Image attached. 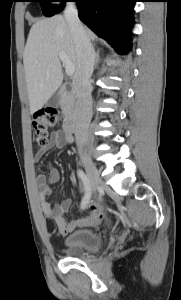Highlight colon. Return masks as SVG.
<instances>
[{
  "instance_id": "1",
  "label": "colon",
  "mask_w": 181,
  "mask_h": 300,
  "mask_svg": "<svg viewBox=\"0 0 181 300\" xmlns=\"http://www.w3.org/2000/svg\"><path fill=\"white\" fill-rule=\"evenodd\" d=\"M60 122L58 111L54 108H45L36 111L32 116V127L34 130L35 140L39 145H45L48 140V132ZM98 205L92 206V212L100 213Z\"/></svg>"
}]
</instances>
